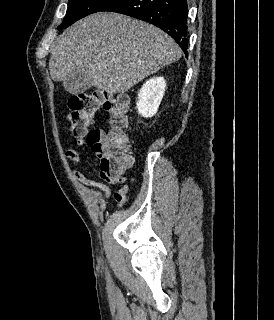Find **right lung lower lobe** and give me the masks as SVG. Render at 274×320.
<instances>
[{
    "mask_svg": "<svg viewBox=\"0 0 274 320\" xmlns=\"http://www.w3.org/2000/svg\"><path fill=\"white\" fill-rule=\"evenodd\" d=\"M102 11L125 14L161 28L187 54L186 0H116Z\"/></svg>",
    "mask_w": 274,
    "mask_h": 320,
    "instance_id": "98d812e1",
    "label": "right lung lower lobe"
}]
</instances>
